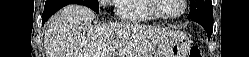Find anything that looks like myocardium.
I'll return each instance as SVG.
<instances>
[{
  "instance_id": "myocardium-1",
  "label": "myocardium",
  "mask_w": 249,
  "mask_h": 57,
  "mask_svg": "<svg viewBox=\"0 0 249 57\" xmlns=\"http://www.w3.org/2000/svg\"><path fill=\"white\" fill-rule=\"evenodd\" d=\"M181 1V10L176 13V14H162L159 12L158 7H159V0H149V5L150 8L152 10V12L154 13V15L160 19L163 20H173V19H177L179 17H181L186 10V0H180Z\"/></svg>"
}]
</instances>
